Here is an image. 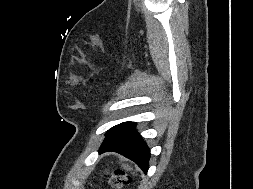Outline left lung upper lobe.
Instances as JSON below:
<instances>
[{
    "mask_svg": "<svg viewBox=\"0 0 253 189\" xmlns=\"http://www.w3.org/2000/svg\"><path fill=\"white\" fill-rule=\"evenodd\" d=\"M125 123H127V122H125ZM125 123H121V124H119V125H116V126L112 127L108 132L114 130L115 128H117V127H119V126H121V125H123V124H125ZM108 132H107V133H108Z\"/></svg>",
    "mask_w": 253,
    "mask_h": 189,
    "instance_id": "obj_1",
    "label": "left lung upper lobe"
}]
</instances>
